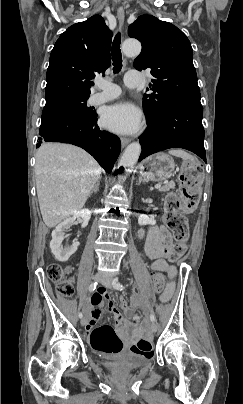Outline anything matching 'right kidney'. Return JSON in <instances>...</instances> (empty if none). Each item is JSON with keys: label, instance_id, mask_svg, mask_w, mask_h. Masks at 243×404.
Instances as JSON below:
<instances>
[{"label": "right kidney", "instance_id": "obj_1", "mask_svg": "<svg viewBox=\"0 0 243 404\" xmlns=\"http://www.w3.org/2000/svg\"><path fill=\"white\" fill-rule=\"evenodd\" d=\"M76 218H81V226L82 228H86L91 218V212H89V210H79V212H74L73 218H67V220L61 222V224H58L52 232L50 248L53 256H55L56 260H59V262H67L70 256L75 254L78 246H80L79 242H73L71 246H62L65 232H68Z\"/></svg>", "mask_w": 243, "mask_h": 404}]
</instances>
